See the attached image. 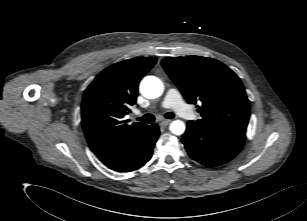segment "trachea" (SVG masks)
<instances>
[{
	"mask_svg": "<svg viewBox=\"0 0 307 221\" xmlns=\"http://www.w3.org/2000/svg\"><path fill=\"white\" fill-rule=\"evenodd\" d=\"M174 116L175 115L172 112H168V113L165 114V118H167V119H172V118H174ZM137 120L141 121L144 124H151V123L154 122L155 117L152 114H146L143 117L137 118Z\"/></svg>",
	"mask_w": 307,
	"mask_h": 221,
	"instance_id": "obj_1",
	"label": "trachea"
}]
</instances>
